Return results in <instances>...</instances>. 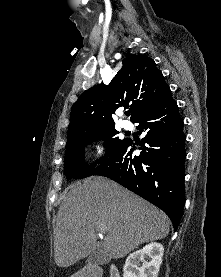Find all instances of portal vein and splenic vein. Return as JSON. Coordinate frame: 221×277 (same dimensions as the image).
Instances as JSON below:
<instances>
[{"label":"portal vein and splenic vein","instance_id":"18ae733b","mask_svg":"<svg viewBox=\"0 0 221 277\" xmlns=\"http://www.w3.org/2000/svg\"><path fill=\"white\" fill-rule=\"evenodd\" d=\"M98 231H99V233L103 234V233L105 232V229H104L103 227H100V228L98 229Z\"/></svg>","mask_w":221,"mask_h":277}]
</instances>
